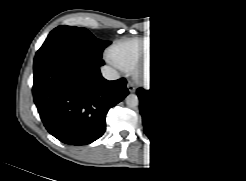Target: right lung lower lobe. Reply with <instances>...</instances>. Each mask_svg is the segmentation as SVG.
Here are the masks:
<instances>
[{
  "mask_svg": "<svg viewBox=\"0 0 246 181\" xmlns=\"http://www.w3.org/2000/svg\"><path fill=\"white\" fill-rule=\"evenodd\" d=\"M126 95L124 78L107 81L100 65L77 51L59 50L34 63V102L48 132L63 143L101 137L108 110Z\"/></svg>",
  "mask_w": 246,
  "mask_h": 181,
  "instance_id": "obj_1",
  "label": "right lung lower lobe"
}]
</instances>
